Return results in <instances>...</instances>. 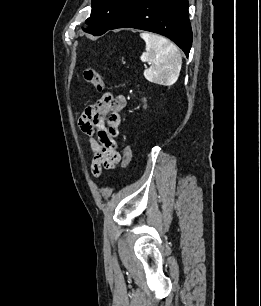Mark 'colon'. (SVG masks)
Wrapping results in <instances>:
<instances>
[{
    "label": "colon",
    "instance_id": "1",
    "mask_svg": "<svg viewBox=\"0 0 261 306\" xmlns=\"http://www.w3.org/2000/svg\"><path fill=\"white\" fill-rule=\"evenodd\" d=\"M83 77L87 83L101 91L104 87V82L101 74L95 69H86L83 72ZM145 99H142V106H145ZM132 150L129 146L123 148V165L128 167L132 161Z\"/></svg>",
    "mask_w": 261,
    "mask_h": 306
}]
</instances>
